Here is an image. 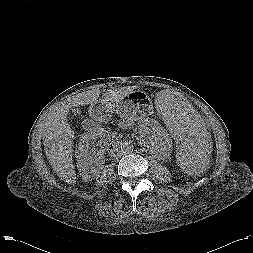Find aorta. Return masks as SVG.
<instances>
[{
	"instance_id": "aorta-1",
	"label": "aorta",
	"mask_w": 253,
	"mask_h": 253,
	"mask_svg": "<svg viewBox=\"0 0 253 253\" xmlns=\"http://www.w3.org/2000/svg\"><path fill=\"white\" fill-rule=\"evenodd\" d=\"M121 150L125 154L131 153L133 151V144L128 141L122 142Z\"/></svg>"
}]
</instances>
